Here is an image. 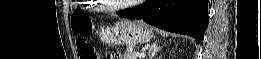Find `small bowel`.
I'll list each match as a JSON object with an SVG mask.
<instances>
[{"instance_id": "c3829d8e", "label": "small bowel", "mask_w": 261, "mask_h": 59, "mask_svg": "<svg viewBox=\"0 0 261 59\" xmlns=\"http://www.w3.org/2000/svg\"><path fill=\"white\" fill-rule=\"evenodd\" d=\"M112 57H113L112 59H119L120 58L118 55H114V54L112 55Z\"/></svg>"}]
</instances>
